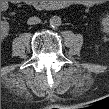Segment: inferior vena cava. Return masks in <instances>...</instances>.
<instances>
[{
  "label": "inferior vena cava",
  "mask_w": 109,
  "mask_h": 109,
  "mask_svg": "<svg viewBox=\"0 0 109 109\" xmlns=\"http://www.w3.org/2000/svg\"><path fill=\"white\" fill-rule=\"evenodd\" d=\"M40 22H41V20H40L39 17L33 16V17H30L28 19L27 24H29V25H35V24H38Z\"/></svg>",
  "instance_id": "602c4592"
}]
</instances>
